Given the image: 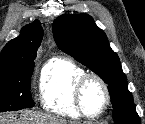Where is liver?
<instances>
[{"label":"liver","mask_w":145,"mask_h":124,"mask_svg":"<svg viewBox=\"0 0 145 124\" xmlns=\"http://www.w3.org/2000/svg\"><path fill=\"white\" fill-rule=\"evenodd\" d=\"M0 124H72L65 119L32 111H24L20 115H0Z\"/></svg>","instance_id":"obj_1"}]
</instances>
